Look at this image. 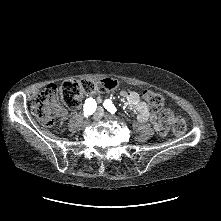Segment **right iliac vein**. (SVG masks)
I'll return each mask as SVG.
<instances>
[{
  "label": "right iliac vein",
  "instance_id": "63e3f726",
  "mask_svg": "<svg viewBox=\"0 0 221 221\" xmlns=\"http://www.w3.org/2000/svg\"><path fill=\"white\" fill-rule=\"evenodd\" d=\"M100 117H101V114H100V113H97V114L95 115V118H96V119H99ZM84 125H86V123H85Z\"/></svg>",
  "mask_w": 221,
  "mask_h": 221
}]
</instances>
